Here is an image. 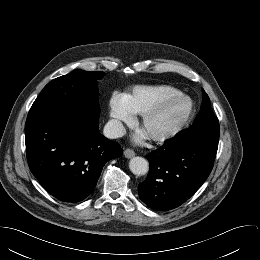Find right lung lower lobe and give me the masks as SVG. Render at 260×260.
Wrapping results in <instances>:
<instances>
[{"label":"right lung lower lobe","mask_w":260,"mask_h":260,"mask_svg":"<svg viewBox=\"0 0 260 260\" xmlns=\"http://www.w3.org/2000/svg\"><path fill=\"white\" fill-rule=\"evenodd\" d=\"M25 142L31 172L48 193L68 203L86 199L105 163L123 153L100 134L99 110L88 107H31Z\"/></svg>","instance_id":"obj_1"}]
</instances>
